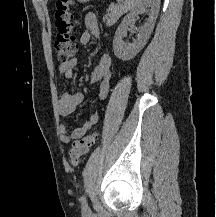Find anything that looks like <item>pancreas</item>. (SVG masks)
<instances>
[{"label": "pancreas", "mask_w": 216, "mask_h": 217, "mask_svg": "<svg viewBox=\"0 0 216 217\" xmlns=\"http://www.w3.org/2000/svg\"><path fill=\"white\" fill-rule=\"evenodd\" d=\"M117 1L118 4L110 5L107 14L103 17V21L108 27L112 26L125 13V7L120 3V0Z\"/></svg>", "instance_id": "1"}]
</instances>
